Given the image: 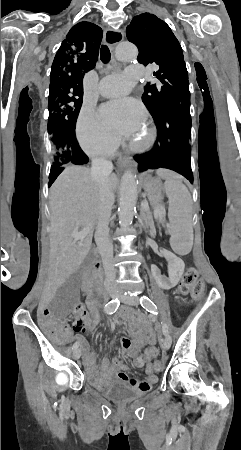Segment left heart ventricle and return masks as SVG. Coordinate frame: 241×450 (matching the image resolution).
<instances>
[{"mask_svg": "<svg viewBox=\"0 0 241 450\" xmlns=\"http://www.w3.org/2000/svg\"><path fill=\"white\" fill-rule=\"evenodd\" d=\"M145 129L144 128H139L138 130H136L131 136H130V141L132 145H138L140 143H142V138L146 137L145 136Z\"/></svg>", "mask_w": 241, "mask_h": 450, "instance_id": "obj_1", "label": "left heart ventricle"}]
</instances>
